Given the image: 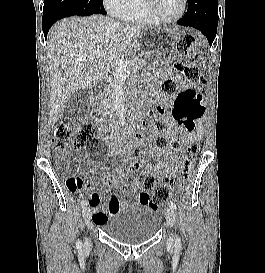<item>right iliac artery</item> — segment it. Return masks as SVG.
I'll return each instance as SVG.
<instances>
[{
    "mask_svg": "<svg viewBox=\"0 0 265 273\" xmlns=\"http://www.w3.org/2000/svg\"><path fill=\"white\" fill-rule=\"evenodd\" d=\"M87 205H88V203H87L86 201H82V202H81V208H82V209H85V207H87ZM77 247H78V248H81V247H82V243H81V241H79V240L77 241Z\"/></svg>",
    "mask_w": 265,
    "mask_h": 273,
    "instance_id": "right-iliac-artery-1",
    "label": "right iliac artery"
}]
</instances>
